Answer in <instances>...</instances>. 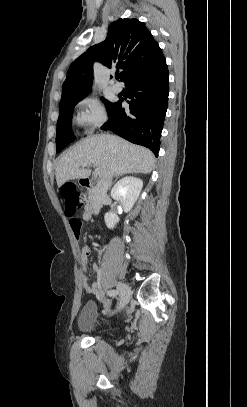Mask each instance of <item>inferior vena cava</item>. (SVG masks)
Segmentation results:
<instances>
[{"mask_svg": "<svg viewBox=\"0 0 247 407\" xmlns=\"http://www.w3.org/2000/svg\"><path fill=\"white\" fill-rule=\"evenodd\" d=\"M113 172L114 166H111L110 171L106 175L101 177L100 181L96 186L95 195L93 199L95 214L99 213L101 202L103 198L106 196L107 190L111 184Z\"/></svg>", "mask_w": 247, "mask_h": 407, "instance_id": "602c4592", "label": "inferior vena cava"}]
</instances>
